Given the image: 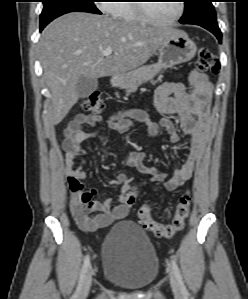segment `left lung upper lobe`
<instances>
[{"instance_id":"obj_1","label":"left lung upper lobe","mask_w":248,"mask_h":299,"mask_svg":"<svg viewBox=\"0 0 248 299\" xmlns=\"http://www.w3.org/2000/svg\"><path fill=\"white\" fill-rule=\"evenodd\" d=\"M185 11L180 19L182 24L217 23L212 0H184Z\"/></svg>"}]
</instances>
